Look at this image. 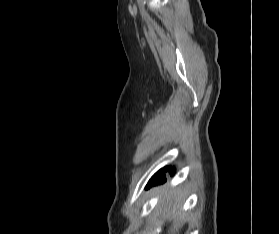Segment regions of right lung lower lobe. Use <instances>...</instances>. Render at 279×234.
<instances>
[{"instance_id":"1","label":"right lung lower lobe","mask_w":279,"mask_h":234,"mask_svg":"<svg viewBox=\"0 0 279 234\" xmlns=\"http://www.w3.org/2000/svg\"><path fill=\"white\" fill-rule=\"evenodd\" d=\"M169 171L170 175L172 176L174 174V171L171 167H165L161 170H159L154 176L149 180L147 184V188L151 187L152 185L160 184L166 181L165 172Z\"/></svg>"}]
</instances>
